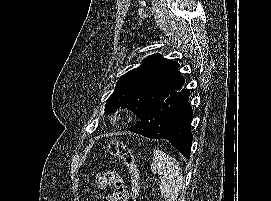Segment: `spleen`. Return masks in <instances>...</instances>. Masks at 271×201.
Here are the masks:
<instances>
[{
	"label": "spleen",
	"instance_id": "3e777b00",
	"mask_svg": "<svg viewBox=\"0 0 271 201\" xmlns=\"http://www.w3.org/2000/svg\"><path fill=\"white\" fill-rule=\"evenodd\" d=\"M151 170L161 176L159 189L166 201H176L183 186L182 169L177 160L161 150H155Z\"/></svg>",
	"mask_w": 271,
	"mask_h": 201
}]
</instances>
